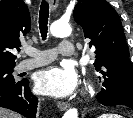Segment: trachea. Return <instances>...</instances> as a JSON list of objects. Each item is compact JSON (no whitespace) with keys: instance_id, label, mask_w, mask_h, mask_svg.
<instances>
[{"instance_id":"obj_1","label":"trachea","mask_w":133,"mask_h":118,"mask_svg":"<svg viewBox=\"0 0 133 118\" xmlns=\"http://www.w3.org/2000/svg\"><path fill=\"white\" fill-rule=\"evenodd\" d=\"M49 4L42 1L39 12V29L42 38L45 40L48 32Z\"/></svg>"}]
</instances>
